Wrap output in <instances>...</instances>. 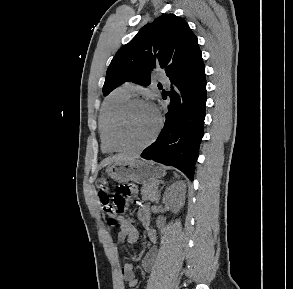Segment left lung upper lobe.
Returning <instances> with one entry per match:
<instances>
[{
	"label": "left lung upper lobe",
	"instance_id": "5c2ea615",
	"mask_svg": "<svg viewBox=\"0 0 293 289\" xmlns=\"http://www.w3.org/2000/svg\"><path fill=\"white\" fill-rule=\"evenodd\" d=\"M200 52L197 37L187 22L174 14H163L118 50L107 69L103 93L108 95L126 81L147 86L151 72L157 68L171 77Z\"/></svg>",
	"mask_w": 293,
	"mask_h": 289
}]
</instances>
